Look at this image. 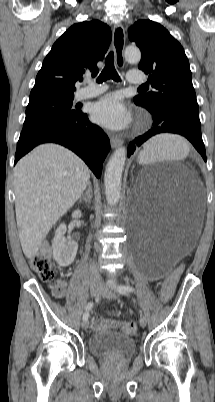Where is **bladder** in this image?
Returning a JSON list of instances; mask_svg holds the SVG:
<instances>
[{
  "mask_svg": "<svg viewBox=\"0 0 215 402\" xmlns=\"http://www.w3.org/2000/svg\"><path fill=\"white\" fill-rule=\"evenodd\" d=\"M88 348L94 356L99 358L125 360L134 355L136 343L127 334L103 329L90 336Z\"/></svg>",
  "mask_w": 215,
  "mask_h": 402,
  "instance_id": "31cf9c89",
  "label": "bladder"
}]
</instances>
